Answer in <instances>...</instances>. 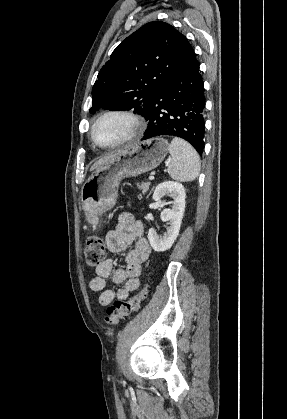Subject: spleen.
<instances>
[{"label":"spleen","instance_id":"3e777b00","mask_svg":"<svg viewBox=\"0 0 287 419\" xmlns=\"http://www.w3.org/2000/svg\"><path fill=\"white\" fill-rule=\"evenodd\" d=\"M171 155L167 172L174 180L190 182L195 180L200 172V158L196 150L185 140L173 138L169 145Z\"/></svg>","mask_w":287,"mask_h":419}]
</instances>
